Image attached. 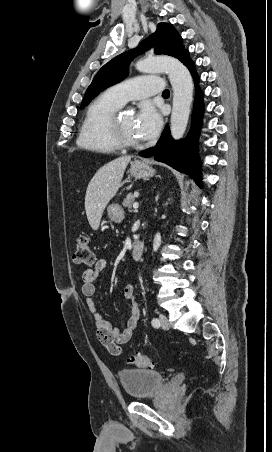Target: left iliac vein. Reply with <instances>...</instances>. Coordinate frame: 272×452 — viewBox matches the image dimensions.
Wrapping results in <instances>:
<instances>
[{
  "label": "left iliac vein",
  "mask_w": 272,
  "mask_h": 452,
  "mask_svg": "<svg viewBox=\"0 0 272 452\" xmlns=\"http://www.w3.org/2000/svg\"><path fill=\"white\" fill-rule=\"evenodd\" d=\"M159 319H160V326H161V328L165 329V330H168L170 328V325H169L167 317L165 315L161 314L159 316Z\"/></svg>",
  "instance_id": "4c4485c4"
}]
</instances>
